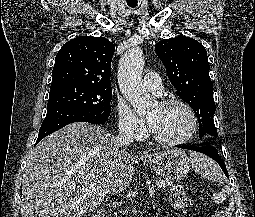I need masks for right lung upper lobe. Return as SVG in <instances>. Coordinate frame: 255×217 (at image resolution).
Instances as JSON below:
<instances>
[{"label":"right lung upper lobe","instance_id":"1","mask_svg":"<svg viewBox=\"0 0 255 217\" xmlns=\"http://www.w3.org/2000/svg\"><path fill=\"white\" fill-rule=\"evenodd\" d=\"M115 46L102 37L80 36L66 42L55 57L53 86L80 84L111 88V61Z\"/></svg>","mask_w":255,"mask_h":217}]
</instances>
